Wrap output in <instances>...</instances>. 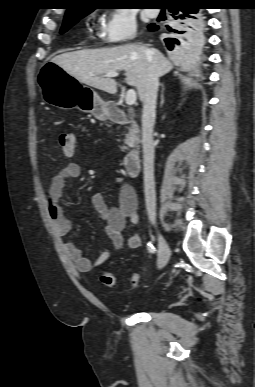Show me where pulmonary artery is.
Wrapping results in <instances>:
<instances>
[{
  "label": "pulmonary artery",
  "instance_id": "obj_1",
  "mask_svg": "<svg viewBox=\"0 0 255 387\" xmlns=\"http://www.w3.org/2000/svg\"><path fill=\"white\" fill-rule=\"evenodd\" d=\"M146 12L150 17H156L159 14L158 9H148Z\"/></svg>",
  "mask_w": 255,
  "mask_h": 387
}]
</instances>
